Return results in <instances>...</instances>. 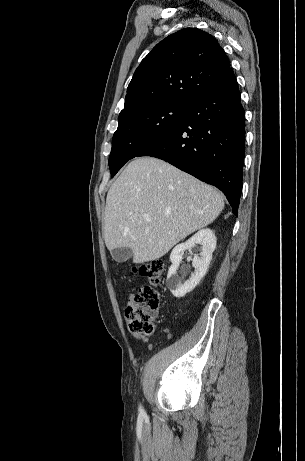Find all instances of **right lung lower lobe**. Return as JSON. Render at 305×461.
<instances>
[{
	"mask_svg": "<svg viewBox=\"0 0 305 461\" xmlns=\"http://www.w3.org/2000/svg\"><path fill=\"white\" fill-rule=\"evenodd\" d=\"M235 75L189 103L181 123L139 156L162 159L216 186L238 215L245 151V114Z\"/></svg>",
	"mask_w": 305,
	"mask_h": 461,
	"instance_id": "right-lung-lower-lobe-1",
	"label": "right lung lower lobe"
}]
</instances>
